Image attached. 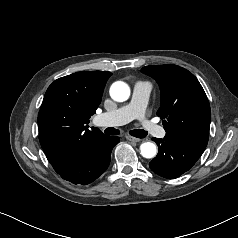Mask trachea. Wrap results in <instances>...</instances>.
<instances>
[{"mask_svg": "<svg viewBox=\"0 0 238 238\" xmlns=\"http://www.w3.org/2000/svg\"><path fill=\"white\" fill-rule=\"evenodd\" d=\"M105 133L108 135H118L119 131L113 127H109L105 129ZM130 134L137 138H144L147 136V132L142 129L132 130Z\"/></svg>", "mask_w": 238, "mask_h": 238, "instance_id": "3493384b", "label": "trachea"}]
</instances>
